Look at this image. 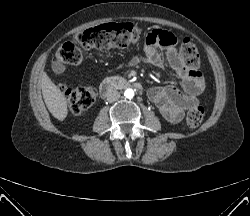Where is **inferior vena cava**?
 Instances as JSON below:
<instances>
[{"instance_id":"inferior-vena-cava-1","label":"inferior vena cava","mask_w":250,"mask_h":216,"mask_svg":"<svg viewBox=\"0 0 250 216\" xmlns=\"http://www.w3.org/2000/svg\"><path fill=\"white\" fill-rule=\"evenodd\" d=\"M120 98V92H118L117 90L113 89L110 90L107 93V101L108 102H115Z\"/></svg>"}]
</instances>
